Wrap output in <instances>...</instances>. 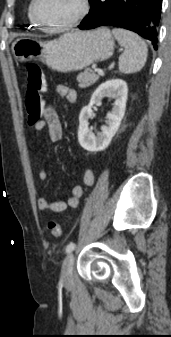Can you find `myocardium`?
Wrapping results in <instances>:
<instances>
[{"mask_svg":"<svg viewBox=\"0 0 171 337\" xmlns=\"http://www.w3.org/2000/svg\"><path fill=\"white\" fill-rule=\"evenodd\" d=\"M38 3L39 0H32V4H31V13H32V17L35 20V22L44 30L49 31V32H59V31H65L68 30L74 26H76L77 24H79L89 13L90 10V3L89 0H80L81 3V8L79 13L70 21L64 23V24H60V25H49L47 23H45L39 16L38 14Z\"/></svg>","mask_w":171,"mask_h":337,"instance_id":"f54148a6","label":"myocardium"}]
</instances>
